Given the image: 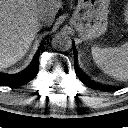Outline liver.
<instances>
[{"label": "liver", "instance_id": "1", "mask_svg": "<svg viewBox=\"0 0 128 128\" xmlns=\"http://www.w3.org/2000/svg\"><path fill=\"white\" fill-rule=\"evenodd\" d=\"M61 0H0V70L25 56L41 29L39 16L53 23Z\"/></svg>", "mask_w": 128, "mask_h": 128}]
</instances>
